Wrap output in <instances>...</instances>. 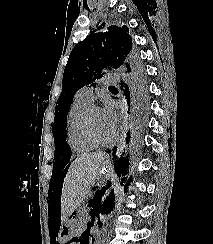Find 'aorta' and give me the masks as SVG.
Segmentation results:
<instances>
[{"label": "aorta", "mask_w": 213, "mask_h": 244, "mask_svg": "<svg viewBox=\"0 0 213 244\" xmlns=\"http://www.w3.org/2000/svg\"><path fill=\"white\" fill-rule=\"evenodd\" d=\"M125 79V78H123ZM123 105L121 107V116H120V122H121V131L118 136L117 142H116V156L117 160L120 159L127 143V134L129 131V120L130 116L128 114V106L126 104V98L124 95H122Z\"/></svg>", "instance_id": "aorta-1"}]
</instances>
